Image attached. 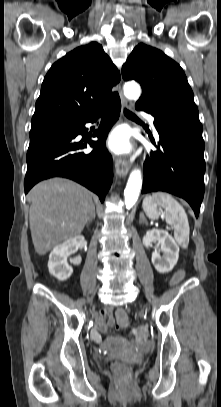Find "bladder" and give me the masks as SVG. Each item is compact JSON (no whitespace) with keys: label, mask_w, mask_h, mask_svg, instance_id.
Listing matches in <instances>:
<instances>
[{"label":"bladder","mask_w":221,"mask_h":407,"mask_svg":"<svg viewBox=\"0 0 221 407\" xmlns=\"http://www.w3.org/2000/svg\"><path fill=\"white\" fill-rule=\"evenodd\" d=\"M123 345H124V342H123L121 339H119V338H111V339L107 342L106 351H108L109 353H115V352H117Z\"/></svg>","instance_id":"31cf9c89"}]
</instances>
